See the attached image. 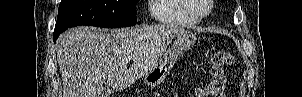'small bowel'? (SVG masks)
Segmentation results:
<instances>
[{
    "mask_svg": "<svg viewBox=\"0 0 302 97\" xmlns=\"http://www.w3.org/2000/svg\"><path fill=\"white\" fill-rule=\"evenodd\" d=\"M177 95L175 94V97H176ZM221 97H224V95H221Z\"/></svg>",
    "mask_w": 302,
    "mask_h": 97,
    "instance_id": "obj_1",
    "label": "small bowel"
}]
</instances>
